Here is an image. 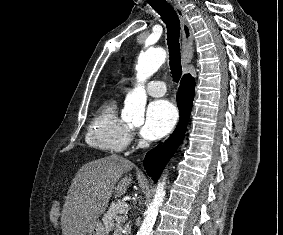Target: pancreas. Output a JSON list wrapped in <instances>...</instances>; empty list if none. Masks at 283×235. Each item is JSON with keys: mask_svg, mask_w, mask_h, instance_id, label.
Returning <instances> with one entry per match:
<instances>
[{"mask_svg": "<svg viewBox=\"0 0 283 235\" xmlns=\"http://www.w3.org/2000/svg\"><path fill=\"white\" fill-rule=\"evenodd\" d=\"M125 205L126 204L120 200L113 202L102 218L106 231L114 230L113 235H122L123 230L130 232L128 224L122 228V223L124 222L125 217L121 214L125 211ZM116 218H120V221H116ZM114 221H116V223Z\"/></svg>", "mask_w": 283, "mask_h": 235, "instance_id": "pancreas-1", "label": "pancreas"}]
</instances>
